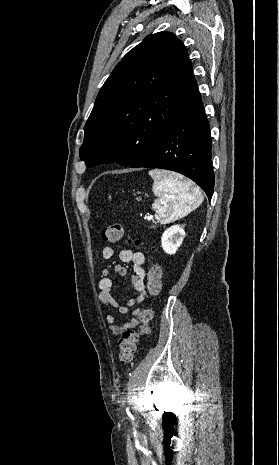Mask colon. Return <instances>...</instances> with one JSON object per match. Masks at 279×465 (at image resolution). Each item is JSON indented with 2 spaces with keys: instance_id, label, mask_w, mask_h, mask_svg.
<instances>
[{
  "instance_id": "1",
  "label": "colon",
  "mask_w": 279,
  "mask_h": 465,
  "mask_svg": "<svg viewBox=\"0 0 279 465\" xmlns=\"http://www.w3.org/2000/svg\"><path fill=\"white\" fill-rule=\"evenodd\" d=\"M123 227L121 223L114 222L109 226L105 227L102 231V237L104 240L115 243L123 237ZM129 243H139L138 240L128 239ZM162 271L159 265H153L150 267L147 274V290L151 296L158 295L162 288ZM152 318V312L148 308L141 309L139 312V319L141 325L137 331L127 330L123 333L122 338L119 342L118 358L122 364H129L134 358V354L137 348V343L141 336L149 333V322Z\"/></svg>"
}]
</instances>
